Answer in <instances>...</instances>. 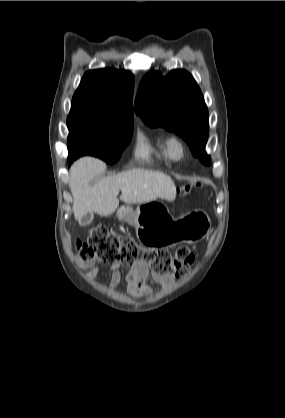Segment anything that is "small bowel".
Masks as SVG:
<instances>
[{"instance_id":"1","label":"small bowel","mask_w":285,"mask_h":418,"mask_svg":"<svg viewBox=\"0 0 285 418\" xmlns=\"http://www.w3.org/2000/svg\"><path fill=\"white\" fill-rule=\"evenodd\" d=\"M85 269L88 271L89 279H94L101 272V268L97 262H92L85 265ZM111 277L109 280V287L111 289L117 287L122 281L121 265L119 263H114L110 267ZM149 278L150 271L146 264L138 263L127 269L125 276L126 289L130 295H144L149 289ZM155 282L159 283H170L172 282L169 279H162L157 276H152Z\"/></svg>"}]
</instances>
